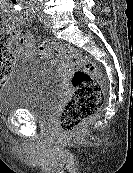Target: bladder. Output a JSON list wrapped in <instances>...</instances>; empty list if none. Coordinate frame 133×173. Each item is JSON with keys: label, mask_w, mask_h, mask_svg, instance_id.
Masks as SVG:
<instances>
[{"label": "bladder", "mask_w": 133, "mask_h": 173, "mask_svg": "<svg viewBox=\"0 0 133 173\" xmlns=\"http://www.w3.org/2000/svg\"><path fill=\"white\" fill-rule=\"evenodd\" d=\"M60 72L38 59L19 61L0 87V113H29L38 122L52 119L63 95Z\"/></svg>", "instance_id": "obj_1"}]
</instances>
